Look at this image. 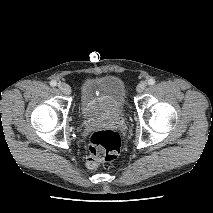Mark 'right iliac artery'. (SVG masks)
<instances>
[{
	"label": "right iliac artery",
	"instance_id": "1",
	"mask_svg": "<svg viewBox=\"0 0 213 213\" xmlns=\"http://www.w3.org/2000/svg\"><path fill=\"white\" fill-rule=\"evenodd\" d=\"M50 85L52 87H55L57 85V82L55 80L50 81Z\"/></svg>",
	"mask_w": 213,
	"mask_h": 213
}]
</instances>
